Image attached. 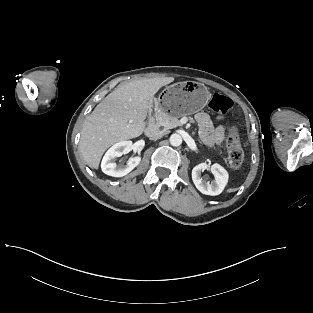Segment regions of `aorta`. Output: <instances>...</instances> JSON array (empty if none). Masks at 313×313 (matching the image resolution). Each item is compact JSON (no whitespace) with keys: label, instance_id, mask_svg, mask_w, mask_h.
Masks as SVG:
<instances>
[{"label":"aorta","instance_id":"762f6f07","mask_svg":"<svg viewBox=\"0 0 313 313\" xmlns=\"http://www.w3.org/2000/svg\"><path fill=\"white\" fill-rule=\"evenodd\" d=\"M170 143L172 146H179L182 144V137L181 135L177 134V133H174L170 136Z\"/></svg>","mask_w":313,"mask_h":313}]
</instances>
